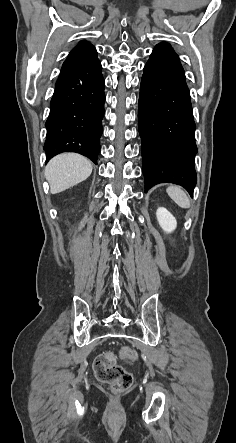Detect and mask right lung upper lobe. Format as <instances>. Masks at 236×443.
I'll return each mask as SVG.
<instances>
[{
  "label": "right lung upper lobe",
  "mask_w": 236,
  "mask_h": 443,
  "mask_svg": "<svg viewBox=\"0 0 236 443\" xmlns=\"http://www.w3.org/2000/svg\"><path fill=\"white\" fill-rule=\"evenodd\" d=\"M67 59H76L81 61H97V51L95 47L86 42L80 41L69 53Z\"/></svg>",
  "instance_id": "1"
}]
</instances>
